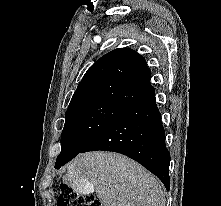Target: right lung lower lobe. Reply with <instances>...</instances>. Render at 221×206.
Wrapping results in <instances>:
<instances>
[{
    "instance_id": "right-lung-lower-lobe-1",
    "label": "right lung lower lobe",
    "mask_w": 221,
    "mask_h": 206,
    "mask_svg": "<svg viewBox=\"0 0 221 206\" xmlns=\"http://www.w3.org/2000/svg\"><path fill=\"white\" fill-rule=\"evenodd\" d=\"M154 96L153 89L128 106L80 153L104 150L124 154L155 174L169 190L170 154Z\"/></svg>"
}]
</instances>
